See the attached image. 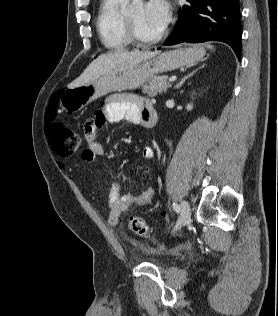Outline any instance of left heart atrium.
<instances>
[{
  "mask_svg": "<svg viewBox=\"0 0 278 316\" xmlns=\"http://www.w3.org/2000/svg\"><path fill=\"white\" fill-rule=\"evenodd\" d=\"M145 15L147 20L164 29L172 17L171 5L167 0H148L145 4Z\"/></svg>",
  "mask_w": 278,
  "mask_h": 316,
  "instance_id": "left-heart-atrium-1",
  "label": "left heart atrium"
}]
</instances>
